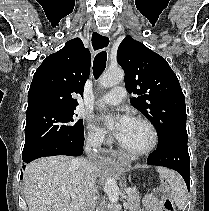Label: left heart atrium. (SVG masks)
<instances>
[{
  "mask_svg": "<svg viewBox=\"0 0 209 211\" xmlns=\"http://www.w3.org/2000/svg\"><path fill=\"white\" fill-rule=\"evenodd\" d=\"M97 120L103 124H108L113 121L114 126L112 127L111 132L119 141L123 140L134 122V119L126 114L117 116L102 115L97 117Z\"/></svg>",
  "mask_w": 209,
  "mask_h": 211,
  "instance_id": "left-heart-atrium-1",
  "label": "left heart atrium"
}]
</instances>
